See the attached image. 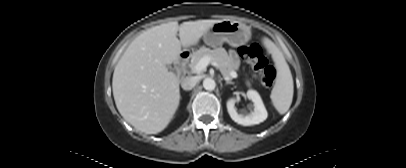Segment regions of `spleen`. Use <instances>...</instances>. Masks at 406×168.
Here are the masks:
<instances>
[{"mask_svg": "<svg viewBox=\"0 0 406 168\" xmlns=\"http://www.w3.org/2000/svg\"><path fill=\"white\" fill-rule=\"evenodd\" d=\"M266 46L272 55L277 69V76L274 87L271 91V101L280 114H285L292 103L294 85L290 68L281 50L270 40Z\"/></svg>", "mask_w": 406, "mask_h": 168, "instance_id": "obj_1", "label": "spleen"}]
</instances>
